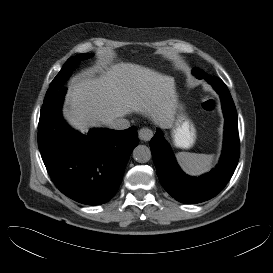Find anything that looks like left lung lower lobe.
I'll list each match as a JSON object with an SVG mask.
<instances>
[{"label":"left lung lower lobe","mask_w":273,"mask_h":273,"mask_svg":"<svg viewBox=\"0 0 273 273\" xmlns=\"http://www.w3.org/2000/svg\"><path fill=\"white\" fill-rule=\"evenodd\" d=\"M192 73L196 78L205 79L211 84L221 98L225 129L219 164L203 176L190 177L178 166L160 130L150 141L153 161L162 186L174 199L186 204L204 202L220 193L231 179L240 155L237 112L228 88L221 79L208 75L199 68H194Z\"/></svg>","instance_id":"0a47b994"}]
</instances>
